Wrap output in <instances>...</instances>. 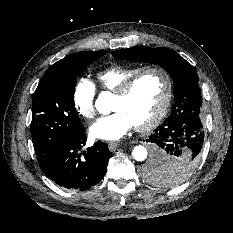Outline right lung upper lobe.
I'll return each mask as SVG.
<instances>
[{
	"instance_id": "cb5924a9",
	"label": "right lung upper lobe",
	"mask_w": 233,
	"mask_h": 233,
	"mask_svg": "<svg viewBox=\"0 0 233 233\" xmlns=\"http://www.w3.org/2000/svg\"><path fill=\"white\" fill-rule=\"evenodd\" d=\"M77 55H78V53H74V54H70V55L66 56L65 58L59 60L58 62H56L52 66H50L47 71L58 69L62 65H64V64L70 62L71 60H73Z\"/></svg>"
}]
</instances>
